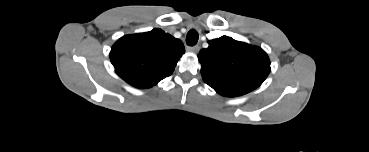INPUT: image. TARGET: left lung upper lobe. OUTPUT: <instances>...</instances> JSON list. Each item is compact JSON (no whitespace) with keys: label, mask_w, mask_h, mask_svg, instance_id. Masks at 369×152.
<instances>
[{"label":"left lung upper lobe","mask_w":369,"mask_h":152,"mask_svg":"<svg viewBox=\"0 0 369 152\" xmlns=\"http://www.w3.org/2000/svg\"><path fill=\"white\" fill-rule=\"evenodd\" d=\"M198 55L203 80L217 93L235 97L262 84L270 73L266 52L228 36L213 39Z\"/></svg>","instance_id":"1"}]
</instances>
